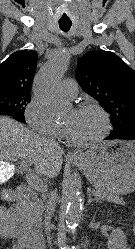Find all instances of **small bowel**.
Wrapping results in <instances>:
<instances>
[{"instance_id": "1", "label": "small bowel", "mask_w": 135, "mask_h": 249, "mask_svg": "<svg viewBox=\"0 0 135 249\" xmlns=\"http://www.w3.org/2000/svg\"><path fill=\"white\" fill-rule=\"evenodd\" d=\"M0 238L12 242L11 247L6 249L26 248L24 225L13 206L0 205Z\"/></svg>"}]
</instances>
